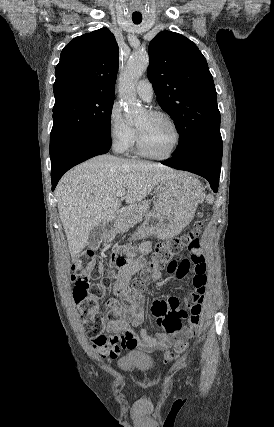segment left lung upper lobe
<instances>
[{
	"label": "left lung upper lobe",
	"mask_w": 274,
	"mask_h": 427,
	"mask_svg": "<svg viewBox=\"0 0 274 427\" xmlns=\"http://www.w3.org/2000/svg\"><path fill=\"white\" fill-rule=\"evenodd\" d=\"M148 52V78L180 135L173 154H184L206 140L221 138L213 78L198 47L183 35L162 31L150 42Z\"/></svg>",
	"instance_id": "left-lung-upper-lobe-1"
}]
</instances>
